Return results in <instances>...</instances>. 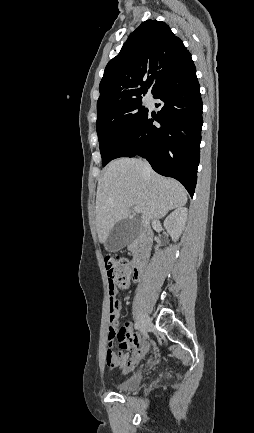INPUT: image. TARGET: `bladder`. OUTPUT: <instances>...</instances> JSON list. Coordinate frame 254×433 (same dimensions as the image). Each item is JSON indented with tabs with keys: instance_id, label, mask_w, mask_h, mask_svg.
Wrapping results in <instances>:
<instances>
[{
	"instance_id": "1",
	"label": "bladder",
	"mask_w": 254,
	"mask_h": 433,
	"mask_svg": "<svg viewBox=\"0 0 254 433\" xmlns=\"http://www.w3.org/2000/svg\"><path fill=\"white\" fill-rule=\"evenodd\" d=\"M141 380H142L141 374H135V375L129 377L128 379H126V380H124L122 382H119L116 385V389L119 392L134 391V390H136L139 387V385L141 383Z\"/></svg>"
}]
</instances>
